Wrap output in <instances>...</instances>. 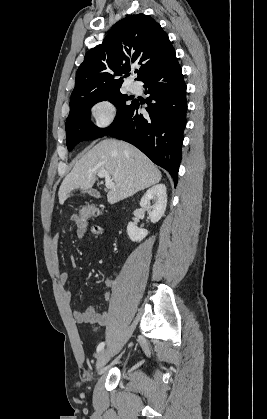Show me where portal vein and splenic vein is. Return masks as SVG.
<instances>
[{"mask_svg": "<svg viewBox=\"0 0 267 419\" xmlns=\"http://www.w3.org/2000/svg\"><path fill=\"white\" fill-rule=\"evenodd\" d=\"M98 177L105 178V186L108 189L114 188V182L110 177V174L106 170H101L98 172Z\"/></svg>", "mask_w": 267, "mask_h": 419, "instance_id": "1", "label": "portal vein and splenic vein"}]
</instances>
